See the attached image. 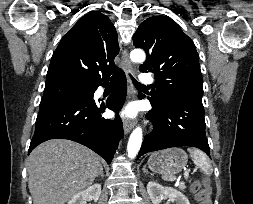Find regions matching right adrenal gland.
I'll return each mask as SVG.
<instances>
[{"mask_svg":"<svg viewBox=\"0 0 253 204\" xmlns=\"http://www.w3.org/2000/svg\"><path fill=\"white\" fill-rule=\"evenodd\" d=\"M99 176L104 177V172H103V168L102 167L100 168V173H99V175L97 177H99Z\"/></svg>","mask_w":253,"mask_h":204,"instance_id":"2a0ac1e0","label":"right adrenal gland"}]
</instances>
